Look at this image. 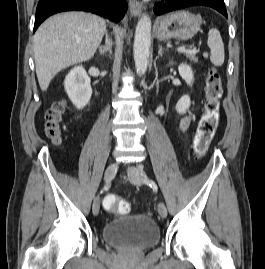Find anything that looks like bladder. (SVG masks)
<instances>
[{
  "mask_svg": "<svg viewBox=\"0 0 265 269\" xmlns=\"http://www.w3.org/2000/svg\"><path fill=\"white\" fill-rule=\"evenodd\" d=\"M106 243L129 250H145L156 245L160 231L154 220L145 215L123 216L103 228Z\"/></svg>",
  "mask_w": 265,
  "mask_h": 269,
  "instance_id": "obj_1",
  "label": "bladder"
}]
</instances>
